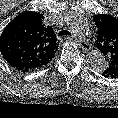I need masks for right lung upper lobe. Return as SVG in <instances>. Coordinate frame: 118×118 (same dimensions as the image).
I'll list each match as a JSON object with an SVG mask.
<instances>
[{
	"label": "right lung upper lobe",
	"instance_id": "cb5924a9",
	"mask_svg": "<svg viewBox=\"0 0 118 118\" xmlns=\"http://www.w3.org/2000/svg\"><path fill=\"white\" fill-rule=\"evenodd\" d=\"M43 15L24 11L16 16L0 36V51L13 68L22 71L46 66L57 51L53 28L46 27Z\"/></svg>",
	"mask_w": 118,
	"mask_h": 118
}]
</instances>
